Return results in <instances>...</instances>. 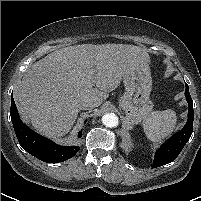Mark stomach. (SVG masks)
<instances>
[{
  "label": "stomach",
  "mask_w": 201,
  "mask_h": 201,
  "mask_svg": "<svg viewBox=\"0 0 201 201\" xmlns=\"http://www.w3.org/2000/svg\"><path fill=\"white\" fill-rule=\"evenodd\" d=\"M125 92L119 99V107L125 112L126 118L138 123L152 111L150 100L152 77L149 62L141 61L129 69L123 76Z\"/></svg>",
  "instance_id": "1"
}]
</instances>
